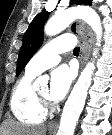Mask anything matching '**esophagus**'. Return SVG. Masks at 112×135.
I'll return each instance as SVG.
<instances>
[{"mask_svg":"<svg viewBox=\"0 0 112 135\" xmlns=\"http://www.w3.org/2000/svg\"><path fill=\"white\" fill-rule=\"evenodd\" d=\"M70 29L72 31H76L81 38L80 60L82 68L86 63V61L88 60L93 41V35L91 30L82 21L72 23ZM57 127L58 125L56 121H52L49 124V129H57Z\"/></svg>","mask_w":112,"mask_h":135,"instance_id":"obj_1","label":"esophagus"}]
</instances>
